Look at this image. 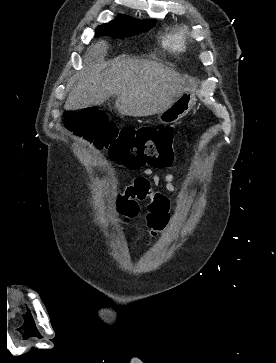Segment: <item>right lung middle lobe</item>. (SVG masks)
Segmentation results:
<instances>
[{
    "instance_id": "dd1d6c3e",
    "label": "right lung middle lobe",
    "mask_w": 276,
    "mask_h": 363,
    "mask_svg": "<svg viewBox=\"0 0 276 363\" xmlns=\"http://www.w3.org/2000/svg\"><path fill=\"white\" fill-rule=\"evenodd\" d=\"M155 25V20L140 21L120 15L107 24L98 26L96 36L108 35L114 38L130 37L140 32H145Z\"/></svg>"
}]
</instances>
